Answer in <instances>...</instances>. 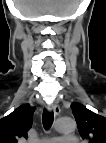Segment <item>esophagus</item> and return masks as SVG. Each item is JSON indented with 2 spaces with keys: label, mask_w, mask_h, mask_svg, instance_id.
<instances>
[{
  "label": "esophagus",
  "mask_w": 106,
  "mask_h": 143,
  "mask_svg": "<svg viewBox=\"0 0 106 143\" xmlns=\"http://www.w3.org/2000/svg\"><path fill=\"white\" fill-rule=\"evenodd\" d=\"M48 110L52 111L56 117L59 116L61 112L60 106L57 103L52 104L51 107L49 106Z\"/></svg>",
  "instance_id": "esophagus-1"
}]
</instances>
